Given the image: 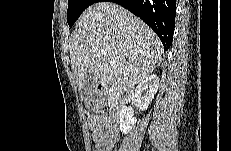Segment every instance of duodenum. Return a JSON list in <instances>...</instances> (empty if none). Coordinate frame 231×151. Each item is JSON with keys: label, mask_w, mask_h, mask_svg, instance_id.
I'll list each match as a JSON object with an SVG mask.
<instances>
[{"label": "duodenum", "mask_w": 231, "mask_h": 151, "mask_svg": "<svg viewBox=\"0 0 231 151\" xmlns=\"http://www.w3.org/2000/svg\"><path fill=\"white\" fill-rule=\"evenodd\" d=\"M96 90L107 100L111 111L114 112L112 116L113 121L117 120L122 107L120 90L117 87H110L108 84L103 82L97 84Z\"/></svg>", "instance_id": "1"}]
</instances>
